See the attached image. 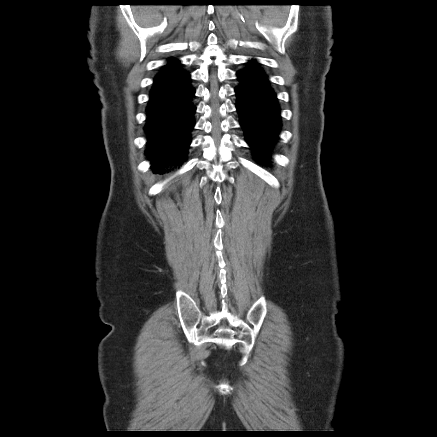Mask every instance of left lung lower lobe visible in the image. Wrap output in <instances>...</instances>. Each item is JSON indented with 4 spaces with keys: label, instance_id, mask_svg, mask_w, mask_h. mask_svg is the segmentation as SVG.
I'll return each mask as SVG.
<instances>
[{
    "label": "left lung lower lobe",
    "instance_id": "left-lung-lower-lobe-1",
    "mask_svg": "<svg viewBox=\"0 0 437 437\" xmlns=\"http://www.w3.org/2000/svg\"><path fill=\"white\" fill-rule=\"evenodd\" d=\"M236 108L246 141L260 163L267 162L269 149L281 128L280 108L268 76L255 60L237 72Z\"/></svg>",
    "mask_w": 437,
    "mask_h": 437
}]
</instances>
